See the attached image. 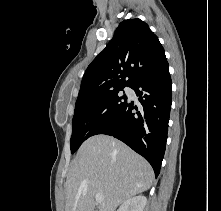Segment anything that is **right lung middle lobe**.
I'll list each match as a JSON object with an SVG mask.
<instances>
[{"instance_id":"1","label":"right lung middle lobe","mask_w":221,"mask_h":211,"mask_svg":"<svg viewBox=\"0 0 221 211\" xmlns=\"http://www.w3.org/2000/svg\"><path fill=\"white\" fill-rule=\"evenodd\" d=\"M123 88L93 96L77 98L72 120L71 153L89 137L96 135L110 123L126 105L127 97L119 92Z\"/></svg>"}]
</instances>
